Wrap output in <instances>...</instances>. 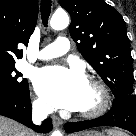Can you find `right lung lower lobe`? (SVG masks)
Segmentation results:
<instances>
[{"mask_svg":"<svg viewBox=\"0 0 136 136\" xmlns=\"http://www.w3.org/2000/svg\"><path fill=\"white\" fill-rule=\"evenodd\" d=\"M0 115L14 119L39 133L52 130L51 119H46L42 126L33 125L31 120V102L29 88L18 96H0Z\"/></svg>","mask_w":136,"mask_h":136,"instance_id":"1","label":"right lung lower lobe"}]
</instances>
